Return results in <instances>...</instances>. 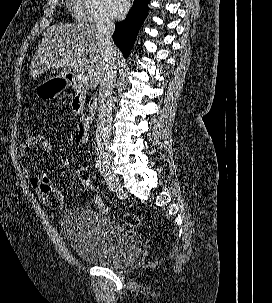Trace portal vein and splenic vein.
Here are the masks:
<instances>
[{"instance_id": "18ae733b", "label": "portal vein and splenic vein", "mask_w": 272, "mask_h": 303, "mask_svg": "<svg viewBox=\"0 0 272 303\" xmlns=\"http://www.w3.org/2000/svg\"><path fill=\"white\" fill-rule=\"evenodd\" d=\"M78 79H79L80 83H82L84 85L89 82V77L87 75L80 74L78 76Z\"/></svg>"}]
</instances>
